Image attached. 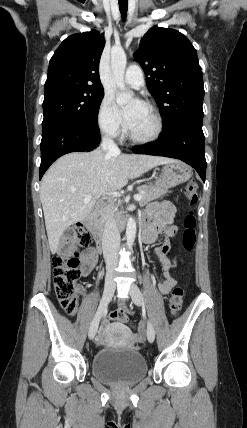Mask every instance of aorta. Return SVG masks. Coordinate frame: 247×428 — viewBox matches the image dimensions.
I'll return each instance as SVG.
<instances>
[{"instance_id":"762f6f07","label":"aorta","mask_w":247,"mask_h":428,"mask_svg":"<svg viewBox=\"0 0 247 428\" xmlns=\"http://www.w3.org/2000/svg\"><path fill=\"white\" fill-rule=\"evenodd\" d=\"M127 58L124 50L121 47H114L111 50V69L113 78L117 88L125 91L124 74L126 69ZM130 96L122 94L117 98L119 104L126 103ZM136 237V222L133 218H129L126 226L127 245L131 247Z\"/></svg>"}]
</instances>
